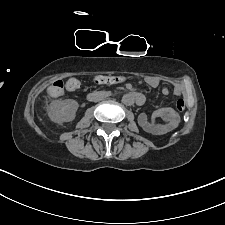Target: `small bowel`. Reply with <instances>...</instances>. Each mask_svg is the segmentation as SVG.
<instances>
[{"instance_id":"small-bowel-1","label":"small bowel","mask_w":225,"mask_h":225,"mask_svg":"<svg viewBox=\"0 0 225 225\" xmlns=\"http://www.w3.org/2000/svg\"><path fill=\"white\" fill-rule=\"evenodd\" d=\"M148 84L152 88H156L159 86V81L152 78L148 80ZM173 92L175 95L180 96L183 94V89L177 86L174 88ZM162 94L169 96V88L163 87ZM158 119H162V122H158ZM138 120L145 131L155 135H163L170 132L178 125L180 116L172 108H161L156 110L150 117L145 113L140 114Z\"/></svg>"}]
</instances>
